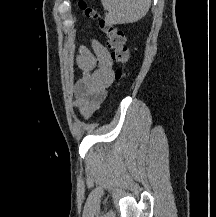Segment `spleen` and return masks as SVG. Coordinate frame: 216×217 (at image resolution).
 Here are the masks:
<instances>
[{
    "mask_svg": "<svg viewBox=\"0 0 216 217\" xmlns=\"http://www.w3.org/2000/svg\"><path fill=\"white\" fill-rule=\"evenodd\" d=\"M109 24L133 23L149 10L151 0H101Z\"/></svg>",
    "mask_w": 216,
    "mask_h": 217,
    "instance_id": "obj_1",
    "label": "spleen"
}]
</instances>
